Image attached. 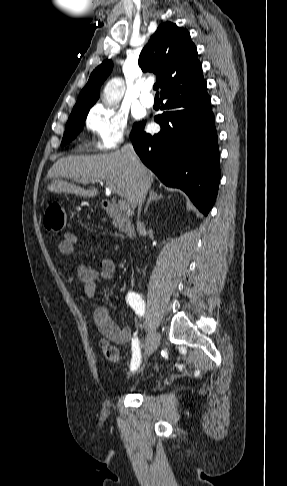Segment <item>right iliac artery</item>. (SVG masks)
<instances>
[{
    "label": "right iliac artery",
    "instance_id": "right-iliac-artery-1",
    "mask_svg": "<svg viewBox=\"0 0 287 486\" xmlns=\"http://www.w3.org/2000/svg\"><path fill=\"white\" fill-rule=\"evenodd\" d=\"M126 300L127 303L136 312V314H138L139 316L144 315L145 305L139 294L135 292H129L127 294ZM140 361H141V353L139 348V341L138 338L136 337V334H134V338L132 340V360H131L132 371L136 370L139 367Z\"/></svg>",
    "mask_w": 287,
    "mask_h": 486
}]
</instances>
